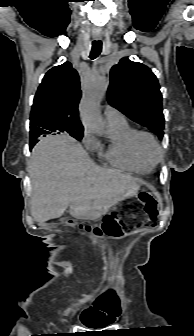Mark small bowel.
Wrapping results in <instances>:
<instances>
[{
	"label": "small bowel",
	"instance_id": "small-bowel-1",
	"mask_svg": "<svg viewBox=\"0 0 194 336\" xmlns=\"http://www.w3.org/2000/svg\"><path fill=\"white\" fill-rule=\"evenodd\" d=\"M119 316V309L110 301L101 298L98 302V308L94 309L87 321V326L107 327Z\"/></svg>",
	"mask_w": 194,
	"mask_h": 336
}]
</instances>
